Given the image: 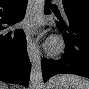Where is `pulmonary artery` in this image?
<instances>
[{
    "label": "pulmonary artery",
    "mask_w": 89,
    "mask_h": 89,
    "mask_svg": "<svg viewBox=\"0 0 89 89\" xmlns=\"http://www.w3.org/2000/svg\"><path fill=\"white\" fill-rule=\"evenodd\" d=\"M57 2H58V4H59L60 6H62V5H61V0H57Z\"/></svg>",
    "instance_id": "e3ab8cb5"
}]
</instances>
